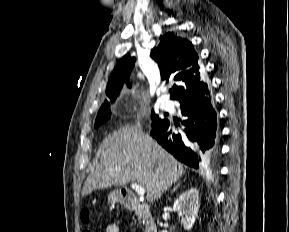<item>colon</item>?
<instances>
[{"label": "colon", "instance_id": "1", "mask_svg": "<svg viewBox=\"0 0 289 232\" xmlns=\"http://www.w3.org/2000/svg\"><path fill=\"white\" fill-rule=\"evenodd\" d=\"M90 219V214L87 210L82 212V221L87 223ZM83 232H92L90 229H85Z\"/></svg>", "mask_w": 289, "mask_h": 232}]
</instances>
